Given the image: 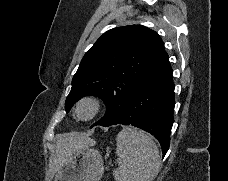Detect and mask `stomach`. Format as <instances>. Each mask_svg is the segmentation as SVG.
Returning a JSON list of instances; mask_svg holds the SVG:
<instances>
[{
  "mask_svg": "<svg viewBox=\"0 0 228 181\" xmlns=\"http://www.w3.org/2000/svg\"><path fill=\"white\" fill-rule=\"evenodd\" d=\"M103 159L96 149L78 147L71 153L69 163L59 169L54 181H101Z\"/></svg>",
  "mask_w": 228,
  "mask_h": 181,
  "instance_id": "0dacf381",
  "label": "stomach"
}]
</instances>
